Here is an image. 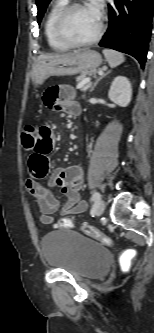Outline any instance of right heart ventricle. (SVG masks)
Here are the masks:
<instances>
[{
	"label": "right heart ventricle",
	"mask_w": 154,
	"mask_h": 333,
	"mask_svg": "<svg viewBox=\"0 0 154 333\" xmlns=\"http://www.w3.org/2000/svg\"><path fill=\"white\" fill-rule=\"evenodd\" d=\"M68 3V0H54L46 14L44 22V34L48 45L56 51H66L71 47L63 43L55 33V20L62 10V8Z\"/></svg>",
	"instance_id": "right-heart-ventricle-1"
}]
</instances>
